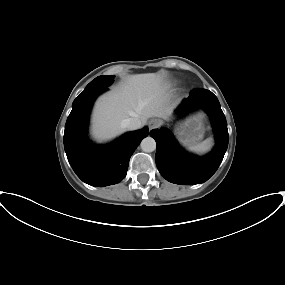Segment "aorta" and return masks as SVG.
Instances as JSON below:
<instances>
[{"label": "aorta", "mask_w": 285, "mask_h": 285, "mask_svg": "<svg viewBox=\"0 0 285 285\" xmlns=\"http://www.w3.org/2000/svg\"><path fill=\"white\" fill-rule=\"evenodd\" d=\"M140 145H141V149L144 152H148L149 153V152H153L156 149V142L150 136L144 138Z\"/></svg>", "instance_id": "762f6f07"}]
</instances>
